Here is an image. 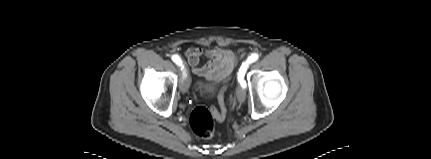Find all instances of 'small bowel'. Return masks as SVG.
<instances>
[{
    "label": "small bowel",
    "mask_w": 431,
    "mask_h": 159,
    "mask_svg": "<svg viewBox=\"0 0 431 159\" xmlns=\"http://www.w3.org/2000/svg\"><path fill=\"white\" fill-rule=\"evenodd\" d=\"M185 55L192 72L209 80H228L238 61V57L231 50L224 48L192 47L186 50ZM203 56L209 60L200 65Z\"/></svg>",
    "instance_id": "c3829d8e"
}]
</instances>
